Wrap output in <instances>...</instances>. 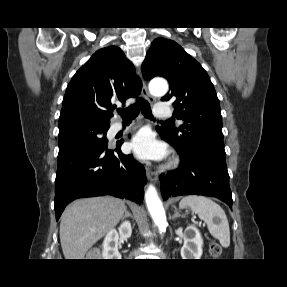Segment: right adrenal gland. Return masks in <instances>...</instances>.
<instances>
[{
  "instance_id": "1",
  "label": "right adrenal gland",
  "mask_w": 287,
  "mask_h": 287,
  "mask_svg": "<svg viewBox=\"0 0 287 287\" xmlns=\"http://www.w3.org/2000/svg\"><path fill=\"white\" fill-rule=\"evenodd\" d=\"M127 217L132 218V215L130 214V212L128 210L125 211V215H124V218H127Z\"/></svg>"
}]
</instances>
